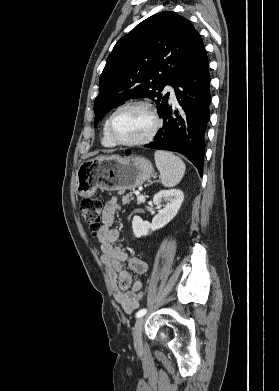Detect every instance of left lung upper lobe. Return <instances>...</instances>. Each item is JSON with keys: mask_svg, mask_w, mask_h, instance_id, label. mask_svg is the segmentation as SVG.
<instances>
[{"mask_svg": "<svg viewBox=\"0 0 279 391\" xmlns=\"http://www.w3.org/2000/svg\"><path fill=\"white\" fill-rule=\"evenodd\" d=\"M204 48L191 22L171 11L157 13L121 38L108 56L94 103V125L111 109L130 98H150L161 115L169 93L195 63Z\"/></svg>", "mask_w": 279, "mask_h": 391, "instance_id": "5c2ea615", "label": "left lung upper lobe"}]
</instances>
